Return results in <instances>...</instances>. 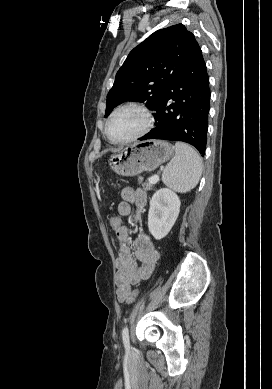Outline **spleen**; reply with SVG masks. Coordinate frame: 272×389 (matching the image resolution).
Here are the masks:
<instances>
[{"label": "spleen", "instance_id": "3e777b00", "mask_svg": "<svg viewBox=\"0 0 272 389\" xmlns=\"http://www.w3.org/2000/svg\"><path fill=\"white\" fill-rule=\"evenodd\" d=\"M202 174V159L190 145L175 143V156L162 174L163 183L171 189L186 193L196 187Z\"/></svg>", "mask_w": 272, "mask_h": 389}]
</instances>
